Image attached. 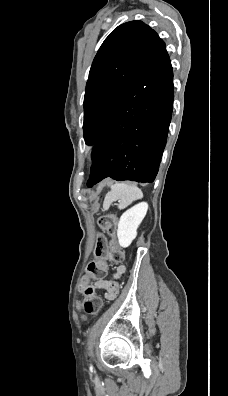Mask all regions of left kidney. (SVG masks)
<instances>
[{
    "mask_svg": "<svg viewBox=\"0 0 228 396\" xmlns=\"http://www.w3.org/2000/svg\"><path fill=\"white\" fill-rule=\"evenodd\" d=\"M148 210V204L141 202L125 211L118 223L117 237L121 247H128L137 236V229Z\"/></svg>",
    "mask_w": 228,
    "mask_h": 396,
    "instance_id": "obj_1",
    "label": "left kidney"
}]
</instances>
